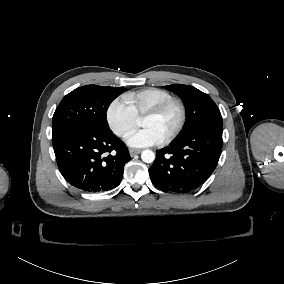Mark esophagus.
<instances>
[{"mask_svg": "<svg viewBox=\"0 0 284 284\" xmlns=\"http://www.w3.org/2000/svg\"><path fill=\"white\" fill-rule=\"evenodd\" d=\"M142 152V149H130V156L133 157Z\"/></svg>", "mask_w": 284, "mask_h": 284, "instance_id": "obj_1", "label": "esophagus"}]
</instances>
